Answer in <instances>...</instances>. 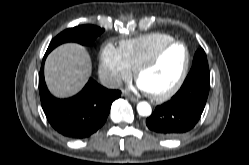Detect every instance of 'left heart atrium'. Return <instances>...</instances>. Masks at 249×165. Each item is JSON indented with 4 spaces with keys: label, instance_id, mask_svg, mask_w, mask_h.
I'll list each match as a JSON object with an SVG mask.
<instances>
[{
    "label": "left heart atrium",
    "instance_id": "left-heart-atrium-1",
    "mask_svg": "<svg viewBox=\"0 0 249 165\" xmlns=\"http://www.w3.org/2000/svg\"><path fill=\"white\" fill-rule=\"evenodd\" d=\"M136 88L139 89V90H141V91H146V89L144 88V86L141 83H139V82L136 83Z\"/></svg>",
    "mask_w": 249,
    "mask_h": 165
}]
</instances>
